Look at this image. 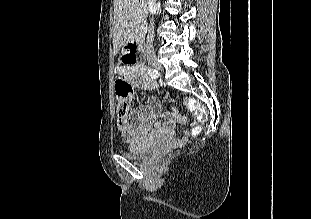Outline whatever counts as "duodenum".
<instances>
[{"label":"duodenum","mask_w":311,"mask_h":219,"mask_svg":"<svg viewBox=\"0 0 311 219\" xmlns=\"http://www.w3.org/2000/svg\"><path fill=\"white\" fill-rule=\"evenodd\" d=\"M145 39V28L142 27L138 30L134 39L127 45V49L130 54L138 55L139 52H142L143 44Z\"/></svg>","instance_id":"obj_1"}]
</instances>
